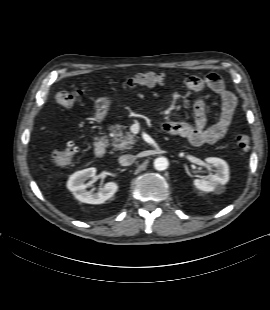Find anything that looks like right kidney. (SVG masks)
Returning <instances> with one entry per match:
<instances>
[{"mask_svg":"<svg viewBox=\"0 0 270 310\" xmlns=\"http://www.w3.org/2000/svg\"><path fill=\"white\" fill-rule=\"evenodd\" d=\"M95 174L96 168L91 167L77 171L69 177L67 188L73 192L77 200L88 204H102L117 192L118 185L115 182L106 183L97 193L87 191L85 181L93 178Z\"/></svg>","mask_w":270,"mask_h":310,"instance_id":"ca27d5eb","label":"right kidney"}]
</instances>
